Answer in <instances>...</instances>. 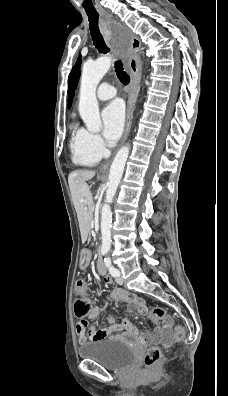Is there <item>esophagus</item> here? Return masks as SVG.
I'll list each match as a JSON object with an SVG mask.
<instances>
[{
  "instance_id": "34e87169",
  "label": "esophagus",
  "mask_w": 228,
  "mask_h": 396,
  "mask_svg": "<svg viewBox=\"0 0 228 396\" xmlns=\"http://www.w3.org/2000/svg\"><path fill=\"white\" fill-rule=\"evenodd\" d=\"M100 14L107 19L111 17L109 13H107L104 9L99 10ZM104 33H106V29H104ZM131 46L134 50V54L129 59L128 61V66H129V71H130V77H131V84H130V89L128 93V104H127V116H126V125H125V131L123 138L119 144V147L122 146V144L125 142L127 139L131 125H132V120H133V112L135 109V103H136V98L138 94V89H139V84L141 80V74H142V64L140 60V51H141V42L140 39L136 36H133ZM111 160L107 161L105 164H103L100 167V172H105L110 164Z\"/></svg>"
}]
</instances>
